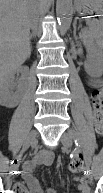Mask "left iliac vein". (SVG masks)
I'll list each match as a JSON object with an SVG mask.
<instances>
[{
    "label": "left iliac vein",
    "instance_id": "4c4485c4",
    "mask_svg": "<svg viewBox=\"0 0 103 193\" xmlns=\"http://www.w3.org/2000/svg\"><path fill=\"white\" fill-rule=\"evenodd\" d=\"M60 140H61V143L65 149H69L72 146V137H71L69 132L63 133ZM87 173H88V177H89L90 182H92V174H91L90 170H88Z\"/></svg>",
    "mask_w": 103,
    "mask_h": 193
}]
</instances>
